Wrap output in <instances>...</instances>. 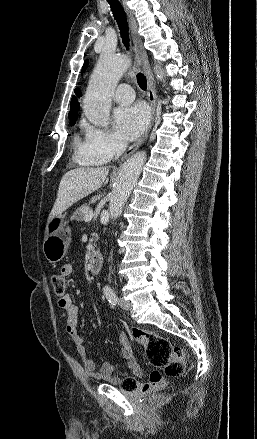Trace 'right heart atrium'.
I'll return each mask as SVG.
<instances>
[{"instance_id": "1", "label": "right heart atrium", "mask_w": 257, "mask_h": 439, "mask_svg": "<svg viewBox=\"0 0 257 439\" xmlns=\"http://www.w3.org/2000/svg\"><path fill=\"white\" fill-rule=\"evenodd\" d=\"M123 145V139L117 131L86 125L83 152L79 156L103 163L119 154Z\"/></svg>"}]
</instances>
